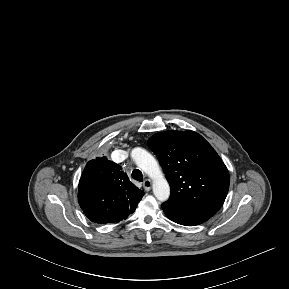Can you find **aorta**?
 Here are the masks:
<instances>
[{
	"instance_id": "1",
	"label": "aorta",
	"mask_w": 289,
	"mask_h": 289,
	"mask_svg": "<svg viewBox=\"0 0 289 289\" xmlns=\"http://www.w3.org/2000/svg\"><path fill=\"white\" fill-rule=\"evenodd\" d=\"M131 156L136 165L152 179L155 197L161 202L168 200L170 187L156 159L148 151L139 147L132 150Z\"/></svg>"
}]
</instances>
